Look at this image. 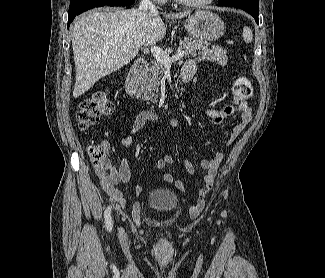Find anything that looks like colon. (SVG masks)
Listing matches in <instances>:
<instances>
[{"label": "colon", "instance_id": "colon-1", "mask_svg": "<svg viewBox=\"0 0 325 278\" xmlns=\"http://www.w3.org/2000/svg\"><path fill=\"white\" fill-rule=\"evenodd\" d=\"M234 99L236 103H241L252 96L253 87L251 82L246 77H237L232 87ZM115 104L108 99L103 93H95L89 98L83 99L78 106L76 112L77 123L83 131H89L94 128L100 116L110 114L114 110ZM234 109L232 106L223 108L214 118V124L222 123L228 118ZM109 151V145L105 142L99 145H91L88 148L89 156L94 163L98 166L102 163ZM200 204L194 207V213L200 211Z\"/></svg>", "mask_w": 325, "mask_h": 278}]
</instances>
